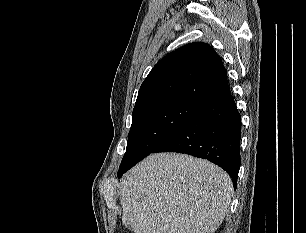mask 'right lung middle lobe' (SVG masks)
Listing matches in <instances>:
<instances>
[{
  "instance_id": "1",
  "label": "right lung middle lobe",
  "mask_w": 306,
  "mask_h": 233,
  "mask_svg": "<svg viewBox=\"0 0 306 233\" xmlns=\"http://www.w3.org/2000/svg\"><path fill=\"white\" fill-rule=\"evenodd\" d=\"M203 106L181 98L151 101L135 110L118 177L149 155Z\"/></svg>"
}]
</instances>
